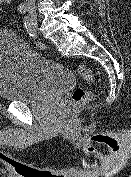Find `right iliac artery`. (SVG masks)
Segmentation results:
<instances>
[{"mask_svg":"<svg viewBox=\"0 0 131 177\" xmlns=\"http://www.w3.org/2000/svg\"><path fill=\"white\" fill-rule=\"evenodd\" d=\"M18 11H19L21 14H25L26 11H27V6H26L25 4L19 5Z\"/></svg>","mask_w":131,"mask_h":177,"instance_id":"82829eb1","label":"right iliac artery"}]
</instances>
